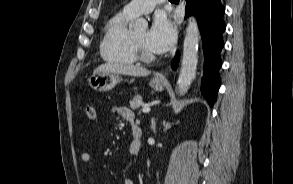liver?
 <instances>
[{
  "mask_svg": "<svg viewBox=\"0 0 293 184\" xmlns=\"http://www.w3.org/2000/svg\"><path fill=\"white\" fill-rule=\"evenodd\" d=\"M94 72H112L130 76H148L150 71L137 65L105 63L98 66Z\"/></svg>",
  "mask_w": 293,
  "mask_h": 184,
  "instance_id": "obj_1",
  "label": "liver"
}]
</instances>
